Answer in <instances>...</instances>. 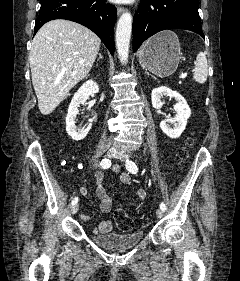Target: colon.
<instances>
[{"instance_id":"obj_1","label":"colon","mask_w":240,"mask_h":281,"mask_svg":"<svg viewBox=\"0 0 240 281\" xmlns=\"http://www.w3.org/2000/svg\"><path fill=\"white\" fill-rule=\"evenodd\" d=\"M192 144H193L192 139H189L187 141V146L180 150L179 163L187 159L189 154L188 147H190ZM114 219L116 221L118 228L122 231H129L133 227V222L131 218L124 212V210L121 207H118L114 212Z\"/></svg>"}]
</instances>
